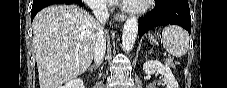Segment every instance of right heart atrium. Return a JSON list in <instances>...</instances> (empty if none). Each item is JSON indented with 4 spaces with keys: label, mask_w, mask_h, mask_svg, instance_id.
Here are the masks:
<instances>
[{
    "label": "right heart atrium",
    "mask_w": 227,
    "mask_h": 88,
    "mask_svg": "<svg viewBox=\"0 0 227 88\" xmlns=\"http://www.w3.org/2000/svg\"><path fill=\"white\" fill-rule=\"evenodd\" d=\"M84 2L92 10L102 9L107 5L106 0H84Z\"/></svg>",
    "instance_id": "right-heart-atrium-1"
}]
</instances>
